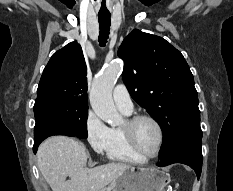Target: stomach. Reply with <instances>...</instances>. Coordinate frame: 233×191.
<instances>
[{
    "label": "stomach",
    "instance_id": "1",
    "mask_svg": "<svg viewBox=\"0 0 233 191\" xmlns=\"http://www.w3.org/2000/svg\"><path fill=\"white\" fill-rule=\"evenodd\" d=\"M170 176L156 167H134L125 170L101 191H164Z\"/></svg>",
    "mask_w": 233,
    "mask_h": 191
}]
</instances>
